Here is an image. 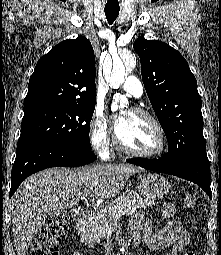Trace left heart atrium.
<instances>
[{"mask_svg":"<svg viewBox=\"0 0 221 255\" xmlns=\"http://www.w3.org/2000/svg\"><path fill=\"white\" fill-rule=\"evenodd\" d=\"M121 125V117L116 121V129H118Z\"/></svg>","mask_w":221,"mask_h":255,"instance_id":"39dd6f15","label":"left heart atrium"}]
</instances>
